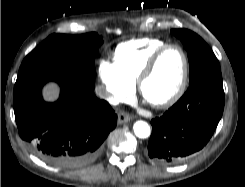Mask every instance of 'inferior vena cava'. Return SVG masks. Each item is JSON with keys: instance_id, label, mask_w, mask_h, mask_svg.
<instances>
[{"instance_id": "inferior-vena-cava-1", "label": "inferior vena cava", "mask_w": 245, "mask_h": 187, "mask_svg": "<svg viewBox=\"0 0 245 187\" xmlns=\"http://www.w3.org/2000/svg\"><path fill=\"white\" fill-rule=\"evenodd\" d=\"M96 94L98 96H100V97L106 98L111 103H114V101H115L113 98H111L108 95V93H107V91H106V89H105V87L103 85H99V86L96 87Z\"/></svg>"}]
</instances>
